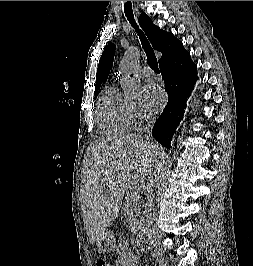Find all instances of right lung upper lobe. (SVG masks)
I'll use <instances>...</instances> for the list:
<instances>
[{
  "instance_id": "right-lung-upper-lobe-1",
  "label": "right lung upper lobe",
  "mask_w": 253,
  "mask_h": 266,
  "mask_svg": "<svg viewBox=\"0 0 253 266\" xmlns=\"http://www.w3.org/2000/svg\"><path fill=\"white\" fill-rule=\"evenodd\" d=\"M139 24L144 30L153 48L162 53L159 64L167 62L176 57L184 50L182 42H180L172 33L161 30L153 24L152 20L145 13L139 16ZM115 53V45L109 44L102 53L96 75L95 96L105 79L108 77L112 67Z\"/></svg>"
}]
</instances>
